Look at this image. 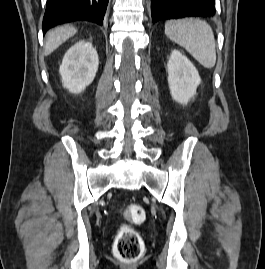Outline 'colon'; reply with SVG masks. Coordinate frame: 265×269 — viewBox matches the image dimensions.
I'll list each match as a JSON object with an SVG mask.
<instances>
[{"label": "colon", "mask_w": 265, "mask_h": 269, "mask_svg": "<svg viewBox=\"0 0 265 269\" xmlns=\"http://www.w3.org/2000/svg\"><path fill=\"white\" fill-rule=\"evenodd\" d=\"M127 218L133 223H140L145 218V211L139 204H131L126 210ZM115 254L118 258L134 262L141 257L143 244L138 232L130 226L123 225L117 235Z\"/></svg>", "instance_id": "obj_1"}]
</instances>
